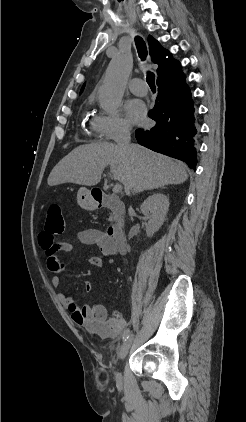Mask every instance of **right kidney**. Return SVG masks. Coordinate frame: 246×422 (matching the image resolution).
<instances>
[{
	"label": "right kidney",
	"mask_w": 246,
	"mask_h": 422,
	"mask_svg": "<svg viewBox=\"0 0 246 422\" xmlns=\"http://www.w3.org/2000/svg\"><path fill=\"white\" fill-rule=\"evenodd\" d=\"M143 215L148 219L146 226V234L151 237L163 225L168 209L169 200L166 195L162 193H155L150 195L140 207Z\"/></svg>",
	"instance_id": "ca27d5eb"
}]
</instances>
